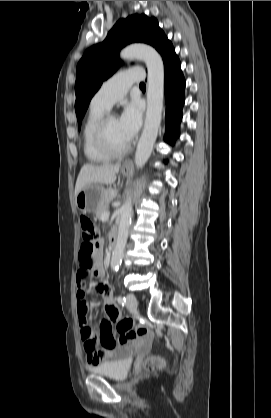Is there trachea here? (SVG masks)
<instances>
[{
  "mask_svg": "<svg viewBox=\"0 0 271 418\" xmlns=\"http://www.w3.org/2000/svg\"><path fill=\"white\" fill-rule=\"evenodd\" d=\"M140 87H141V88H145L146 86H145V84H144V83H140Z\"/></svg>",
  "mask_w": 271,
  "mask_h": 418,
  "instance_id": "obj_1",
  "label": "trachea"
}]
</instances>
